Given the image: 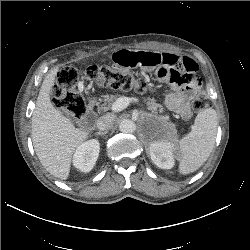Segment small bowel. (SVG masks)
<instances>
[{
	"instance_id": "c3829d8e",
	"label": "small bowel",
	"mask_w": 250,
	"mask_h": 250,
	"mask_svg": "<svg viewBox=\"0 0 250 250\" xmlns=\"http://www.w3.org/2000/svg\"><path fill=\"white\" fill-rule=\"evenodd\" d=\"M112 58L116 67L155 70L157 79L172 87L165 99L166 106L184 119L190 116V102L202 83L197 64L191 58L141 50H120Z\"/></svg>"
}]
</instances>
